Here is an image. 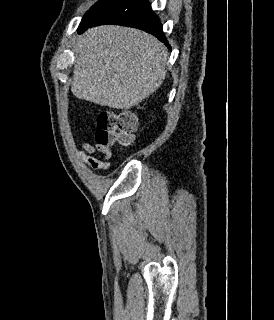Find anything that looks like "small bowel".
I'll use <instances>...</instances> for the list:
<instances>
[{
    "mask_svg": "<svg viewBox=\"0 0 274 320\" xmlns=\"http://www.w3.org/2000/svg\"><path fill=\"white\" fill-rule=\"evenodd\" d=\"M113 148L112 146H93L89 143H84L82 145V150L78 153L79 158L91 166L94 169H103L107 170L110 168V162L111 157L109 156V153H112ZM100 153L97 154V157L93 156L94 153Z\"/></svg>",
    "mask_w": 274,
    "mask_h": 320,
    "instance_id": "small-bowel-1",
    "label": "small bowel"
}]
</instances>
